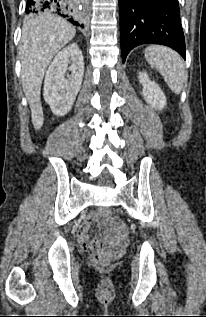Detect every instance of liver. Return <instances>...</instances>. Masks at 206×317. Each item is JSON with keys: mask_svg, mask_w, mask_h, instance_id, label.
Wrapping results in <instances>:
<instances>
[{"mask_svg": "<svg viewBox=\"0 0 206 317\" xmlns=\"http://www.w3.org/2000/svg\"><path fill=\"white\" fill-rule=\"evenodd\" d=\"M76 30L65 19L44 13L30 18L22 29L20 41L21 78L36 130L43 125L41 85L54 55L75 36Z\"/></svg>", "mask_w": 206, "mask_h": 317, "instance_id": "liver-1", "label": "liver"}]
</instances>
